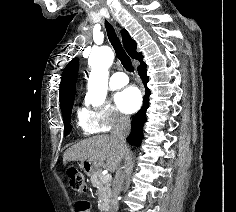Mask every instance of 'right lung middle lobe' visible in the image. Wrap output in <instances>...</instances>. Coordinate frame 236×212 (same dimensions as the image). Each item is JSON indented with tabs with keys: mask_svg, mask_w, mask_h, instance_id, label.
Listing matches in <instances>:
<instances>
[{
	"mask_svg": "<svg viewBox=\"0 0 236 212\" xmlns=\"http://www.w3.org/2000/svg\"><path fill=\"white\" fill-rule=\"evenodd\" d=\"M73 103H74V98L64 101L63 104L61 105V111L64 118L65 136H67L71 131L70 115H71Z\"/></svg>",
	"mask_w": 236,
	"mask_h": 212,
	"instance_id": "right-lung-middle-lobe-1",
	"label": "right lung middle lobe"
}]
</instances>
